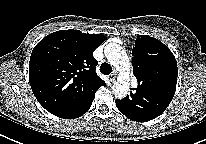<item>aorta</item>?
I'll return each mask as SVG.
<instances>
[{
    "instance_id": "aorta-1",
    "label": "aorta",
    "mask_w": 206,
    "mask_h": 144,
    "mask_svg": "<svg viewBox=\"0 0 206 144\" xmlns=\"http://www.w3.org/2000/svg\"><path fill=\"white\" fill-rule=\"evenodd\" d=\"M108 62L120 73L112 86L116 98H125L129 92L130 60L125 50L116 43H109L104 48Z\"/></svg>"
}]
</instances>
